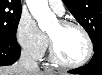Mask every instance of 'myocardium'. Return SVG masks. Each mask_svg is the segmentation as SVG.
<instances>
[{
  "instance_id": "1",
  "label": "myocardium",
  "mask_w": 102,
  "mask_h": 75,
  "mask_svg": "<svg viewBox=\"0 0 102 75\" xmlns=\"http://www.w3.org/2000/svg\"><path fill=\"white\" fill-rule=\"evenodd\" d=\"M58 23L61 28L75 27V28L79 29L85 37V40L87 43V52H86V55L84 56V58L81 59L80 61H78L76 63L67 62L60 57L59 52L57 50V47H56L52 37L50 35H48L49 52H50L51 60L54 63H56L62 67H68V68L77 67V66L83 65L86 62H88L93 54V44H92V40H91L87 30L80 23H78L74 20H60Z\"/></svg>"
}]
</instances>
